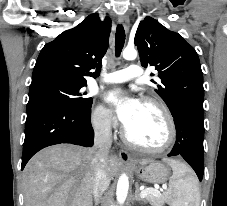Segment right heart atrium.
I'll return each instance as SVG.
<instances>
[{"mask_svg":"<svg viewBox=\"0 0 227 206\" xmlns=\"http://www.w3.org/2000/svg\"><path fill=\"white\" fill-rule=\"evenodd\" d=\"M92 123L96 130L108 132L115 125L112 112L103 105H97L92 112Z\"/></svg>","mask_w":227,"mask_h":206,"instance_id":"d8ad5b80","label":"right heart atrium"}]
</instances>
